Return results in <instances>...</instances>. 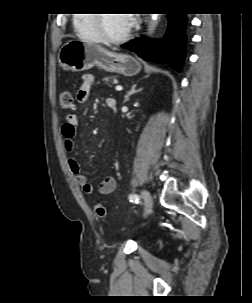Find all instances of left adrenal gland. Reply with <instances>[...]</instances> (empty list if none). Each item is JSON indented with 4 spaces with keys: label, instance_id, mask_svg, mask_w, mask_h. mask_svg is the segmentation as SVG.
<instances>
[{
    "label": "left adrenal gland",
    "instance_id": "1",
    "mask_svg": "<svg viewBox=\"0 0 252 303\" xmlns=\"http://www.w3.org/2000/svg\"><path fill=\"white\" fill-rule=\"evenodd\" d=\"M137 85H133L130 89V91L126 94L124 103L129 100V97L135 93H138L142 90V88L136 89Z\"/></svg>",
    "mask_w": 252,
    "mask_h": 303
}]
</instances>
